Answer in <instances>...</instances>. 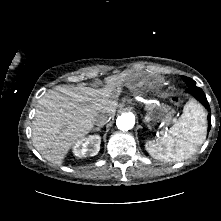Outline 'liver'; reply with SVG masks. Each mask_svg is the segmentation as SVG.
<instances>
[{"label": "liver", "mask_w": 221, "mask_h": 221, "mask_svg": "<svg viewBox=\"0 0 221 221\" xmlns=\"http://www.w3.org/2000/svg\"><path fill=\"white\" fill-rule=\"evenodd\" d=\"M122 77H108L101 89L56 86L39 99L32 142L43 158L61 165L68 151L92 130L98 115L115 116Z\"/></svg>", "instance_id": "obj_1"}]
</instances>
